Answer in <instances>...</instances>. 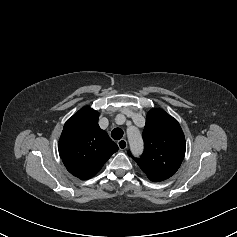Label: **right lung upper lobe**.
<instances>
[{"label":"right lung upper lobe","mask_w":237,"mask_h":237,"mask_svg":"<svg viewBox=\"0 0 237 237\" xmlns=\"http://www.w3.org/2000/svg\"><path fill=\"white\" fill-rule=\"evenodd\" d=\"M99 113L84 107L64 125L59 154L67 170L86 180L93 177L118 150V146L98 125Z\"/></svg>","instance_id":"cb5924a9"}]
</instances>
